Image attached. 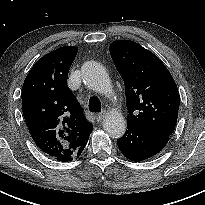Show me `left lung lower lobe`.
Returning a JSON list of instances; mask_svg holds the SVG:
<instances>
[{
  "instance_id": "1",
  "label": "left lung lower lobe",
  "mask_w": 205,
  "mask_h": 205,
  "mask_svg": "<svg viewBox=\"0 0 205 205\" xmlns=\"http://www.w3.org/2000/svg\"><path fill=\"white\" fill-rule=\"evenodd\" d=\"M169 138L170 136L127 124L124 136L117 143L126 158L139 162L159 153Z\"/></svg>"
}]
</instances>
